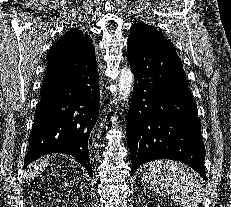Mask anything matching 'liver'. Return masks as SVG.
Wrapping results in <instances>:
<instances>
[{
  "mask_svg": "<svg viewBox=\"0 0 231 207\" xmlns=\"http://www.w3.org/2000/svg\"><path fill=\"white\" fill-rule=\"evenodd\" d=\"M48 162H49V158L47 157V158L39 160L36 163L31 164L28 167V171L26 173V177L27 178H33V177H35L36 174L42 172L45 169V167L47 166Z\"/></svg>",
  "mask_w": 231,
  "mask_h": 207,
  "instance_id": "obj_1",
  "label": "liver"
}]
</instances>
